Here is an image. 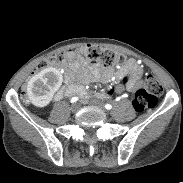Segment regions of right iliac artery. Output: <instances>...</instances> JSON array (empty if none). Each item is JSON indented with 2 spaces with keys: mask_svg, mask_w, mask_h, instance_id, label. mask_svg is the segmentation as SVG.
<instances>
[{
  "mask_svg": "<svg viewBox=\"0 0 183 183\" xmlns=\"http://www.w3.org/2000/svg\"><path fill=\"white\" fill-rule=\"evenodd\" d=\"M77 100H78L77 97H73V98L71 99V102L74 103V102H76Z\"/></svg>",
  "mask_w": 183,
  "mask_h": 183,
  "instance_id": "right-iliac-artery-1",
  "label": "right iliac artery"
}]
</instances>
